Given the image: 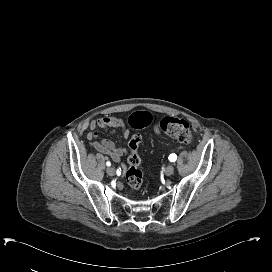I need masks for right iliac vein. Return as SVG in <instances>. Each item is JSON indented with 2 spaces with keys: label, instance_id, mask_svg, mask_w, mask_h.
I'll return each instance as SVG.
<instances>
[{
  "label": "right iliac vein",
  "instance_id": "1",
  "mask_svg": "<svg viewBox=\"0 0 272 272\" xmlns=\"http://www.w3.org/2000/svg\"><path fill=\"white\" fill-rule=\"evenodd\" d=\"M107 174L110 175V176H114L116 171L113 167H108L107 170H106Z\"/></svg>",
  "mask_w": 272,
  "mask_h": 272
}]
</instances>
